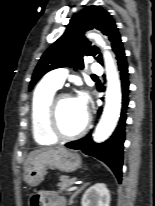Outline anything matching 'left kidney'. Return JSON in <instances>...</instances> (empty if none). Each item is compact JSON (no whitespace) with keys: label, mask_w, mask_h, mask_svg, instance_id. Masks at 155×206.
I'll use <instances>...</instances> for the list:
<instances>
[{"label":"left kidney","mask_w":155,"mask_h":206,"mask_svg":"<svg viewBox=\"0 0 155 206\" xmlns=\"http://www.w3.org/2000/svg\"><path fill=\"white\" fill-rule=\"evenodd\" d=\"M82 206H110V192L104 183H96L86 190Z\"/></svg>","instance_id":"left-kidney-1"}]
</instances>
